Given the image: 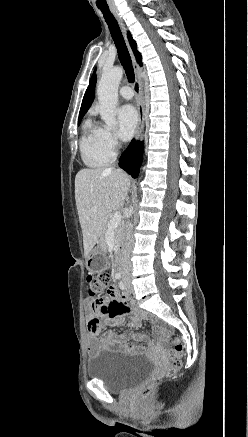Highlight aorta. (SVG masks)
<instances>
[{
    "instance_id": "762f6f07",
    "label": "aorta",
    "mask_w": 248,
    "mask_h": 437,
    "mask_svg": "<svg viewBox=\"0 0 248 437\" xmlns=\"http://www.w3.org/2000/svg\"><path fill=\"white\" fill-rule=\"evenodd\" d=\"M123 76V69L115 67L103 71L97 87L99 113L109 127H115L116 107L118 104V87Z\"/></svg>"
}]
</instances>
